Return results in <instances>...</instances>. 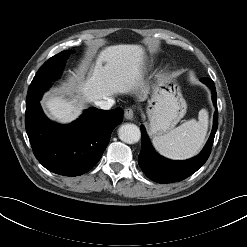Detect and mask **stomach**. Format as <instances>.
I'll list each match as a JSON object with an SVG mask.
<instances>
[{
    "label": "stomach",
    "mask_w": 247,
    "mask_h": 247,
    "mask_svg": "<svg viewBox=\"0 0 247 247\" xmlns=\"http://www.w3.org/2000/svg\"><path fill=\"white\" fill-rule=\"evenodd\" d=\"M147 115L151 135H162L170 131L185 115L187 104L181 88L172 77L160 78L152 86Z\"/></svg>",
    "instance_id": "0dacf381"
}]
</instances>
